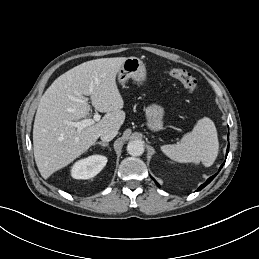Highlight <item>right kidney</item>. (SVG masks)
Returning a JSON list of instances; mask_svg holds the SVG:
<instances>
[{"label": "right kidney", "instance_id": "right-kidney-1", "mask_svg": "<svg viewBox=\"0 0 259 259\" xmlns=\"http://www.w3.org/2000/svg\"><path fill=\"white\" fill-rule=\"evenodd\" d=\"M107 158L102 155H92L77 161L72 169L71 176L74 179H90L96 176L106 165Z\"/></svg>", "mask_w": 259, "mask_h": 259}]
</instances>
